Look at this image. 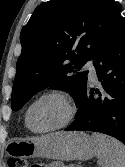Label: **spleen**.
Listing matches in <instances>:
<instances>
[{"instance_id":"3e777b00","label":"spleen","mask_w":125,"mask_h":167,"mask_svg":"<svg viewBox=\"0 0 125 167\" xmlns=\"http://www.w3.org/2000/svg\"><path fill=\"white\" fill-rule=\"evenodd\" d=\"M96 143V155L102 167H125V145L117 139L93 133Z\"/></svg>"}]
</instances>
